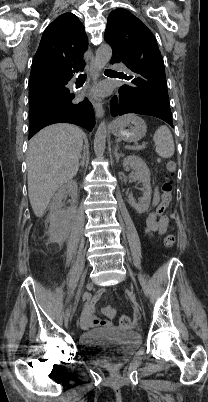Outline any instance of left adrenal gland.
I'll return each instance as SVG.
<instances>
[{
    "label": "left adrenal gland",
    "mask_w": 208,
    "mask_h": 402,
    "mask_svg": "<svg viewBox=\"0 0 208 402\" xmlns=\"http://www.w3.org/2000/svg\"><path fill=\"white\" fill-rule=\"evenodd\" d=\"M114 156H115L116 162H119V158H123V154H118V146H115Z\"/></svg>",
    "instance_id": "a2214340"
}]
</instances>
